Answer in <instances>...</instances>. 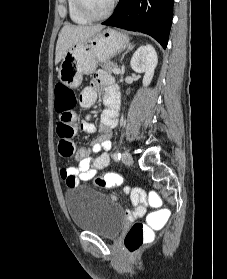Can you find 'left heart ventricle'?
I'll return each mask as SVG.
<instances>
[{
  "label": "left heart ventricle",
  "mask_w": 227,
  "mask_h": 279,
  "mask_svg": "<svg viewBox=\"0 0 227 279\" xmlns=\"http://www.w3.org/2000/svg\"><path fill=\"white\" fill-rule=\"evenodd\" d=\"M89 11L95 15L103 14L110 6L111 0H83Z\"/></svg>",
  "instance_id": "1"
}]
</instances>
